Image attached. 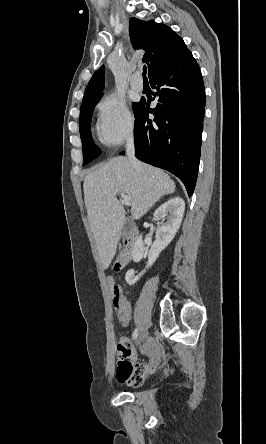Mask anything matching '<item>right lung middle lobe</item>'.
Masks as SVG:
<instances>
[{
	"mask_svg": "<svg viewBox=\"0 0 266 444\" xmlns=\"http://www.w3.org/2000/svg\"><path fill=\"white\" fill-rule=\"evenodd\" d=\"M100 97L82 103L80 107L79 130L83 146V165L89 163L100 155L99 149L95 146L90 132V122L93 109L99 101ZM139 103L133 104L134 113Z\"/></svg>",
	"mask_w": 266,
	"mask_h": 444,
	"instance_id": "obj_1",
	"label": "right lung middle lobe"
}]
</instances>
